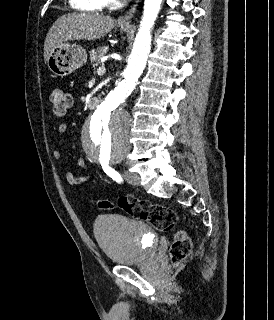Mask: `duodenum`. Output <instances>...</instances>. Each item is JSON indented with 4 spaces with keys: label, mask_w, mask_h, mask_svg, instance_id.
<instances>
[{
    "label": "duodenum",
    "mask_w": 274,
    "mask_h": 320,
    "mask_svg": "<svg viewBox=\"0 0 274 320\" xmlns=\"http://www.w3.org/2000/svg\"><path fill=\"white\" fill-rule=\"evenodd\" d=\"M99 105H100V100H99V98L93 97V98L90 99V101H89V107H90L91 109H96V108L99 107Z\"/></svg>",
    "instance_id": "410a0bca"
}]
</instances>
